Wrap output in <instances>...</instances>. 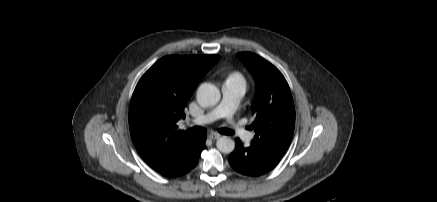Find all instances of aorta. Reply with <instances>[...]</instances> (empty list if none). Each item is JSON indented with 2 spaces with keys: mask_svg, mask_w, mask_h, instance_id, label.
Listing matches in <instances>:
<instances>
[{
  "mask_svg": "<svg viewBox=\"0 0 437 202\" xmlns=\"http://www.w3.org/2000/svg\"><path fill=\"white\" fill-rule=\"evenodd\" d=\"M221 98L220 90L211 83H203L197 91V101L203 107L216 105ZM216 146L222 153H231L235 149V142L227 136H222L217 140Z\"/></svg>",
  "mask_w": 437,
  "mask_h": 202,
  "instance_id": "aorta-1",
  "label": "aorta"
}]
</instances>
